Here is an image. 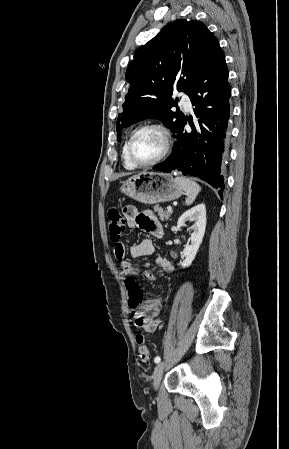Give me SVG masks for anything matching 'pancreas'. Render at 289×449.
Masks as SVG:
<instances>
[{"mask_svg":"<svg viewBox=\"0 0 289 449\" xmlns=\"http://www.w3.org/2000/svg\"><path fill=\"white\" fill-rule=\"evenodd\" d=\"M154 211L157 212L161 221L168 220L171 216V212L164 211L161 207H154Z\"/></svg>","mask_w":289,"mask_h":449,"instance_id":"obj_1","label":"pancreas"}]
</instances>
